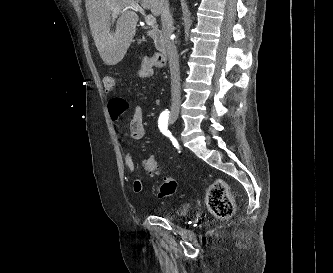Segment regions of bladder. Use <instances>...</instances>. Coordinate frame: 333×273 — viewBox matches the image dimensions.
I'll return each instance as SVG.
<instances>
[{"instance_id":"bladder-1","label":"bladder","mask_w":333,"mask_h":273,"mask_svg":"<svg viewBox=\"0 0 333 273\" xmlns=\"http://www.w3.org/2000/svg\"><path fill=\"white\" fill-rule=\"evenodd\" d=\"M189 212V206L188 204L186 203H182V204H179L177 207H176V212L175 214L173 215H168L167 218L168 219H175L176 217H180V216H185L187 215Z\"/></svg>"}]
</instances>
